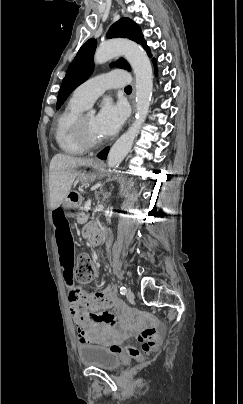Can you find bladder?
<instances>
[{
    "label": "bladder",
    "instance_id": "31cf9c89",
    "mask_svg": "<svg viewBox=\"0 0 243 404\" xmlns=\"http://www.w3.org/2000/svg\"><path fill=\"white\" fill-rule=\"evenodd\" d=\"M80 362L86 367H94L107 371H116L121 367L119 355L107 347L80 343L77 346Z\"/></svg>",
    "mask_w": 243,
    "mask_h": 404
}]
</instances>
